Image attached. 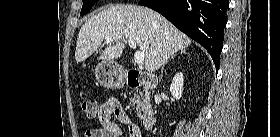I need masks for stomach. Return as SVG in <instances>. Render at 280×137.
I'll list each match as a JSON object with an SVG mask.
<instances>
[{"instance_id":"obj_1","label":"stomach","mask_w":280,"mask_h":137,"mask_svg":"<svg viewBox=\"0 0 280 137\" xmlns=\"http://www.w3.org/2000/svg\"><path fill=\"white\" fill-rule=\"evenodd\" d=\"M95 76L101 85L109 89L121 87L124 79L122 68L110 60H103L97 64Z\"/></svg>"}]
</instances>
